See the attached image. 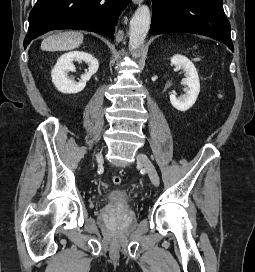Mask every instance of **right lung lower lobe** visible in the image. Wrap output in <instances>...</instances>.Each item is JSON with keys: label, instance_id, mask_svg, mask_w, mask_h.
Returning a JSON list of instances; mask_svg holds the SVG:
<instances>
[{"label": "right lung lower lobe", "instance_id": "98d812e1", "mask_svg": "<svg viewBox=\"0 0 255 272\" xmlns=\"http://www.w3.org/2000/svg\"><path fill=\"white\" fill-rule=\"evenodd\" d=\"M129 0H37L29 15L24 48L31 40L55 29L97 32L114 39V29Z\"/></svg>", "mask_w": 255, "mask_h": 272}]
</instances>
